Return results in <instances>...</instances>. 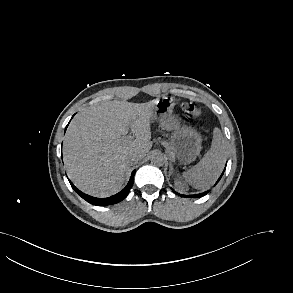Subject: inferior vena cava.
<instances>
[{
	"label": "inferior vena cava",
	"mask_w": 293,
	"mask_h": 293,
	"mask_svg": "<svg viewBox=\"0 0 293 293\" xmlns=\"http://www.w3.org/2000/svg\"><path fill=\"white\" fill-rule=\"evenodd\" d=\"M141 159V155L138 153H130L127 157V164L129 166H133L138 163V161Z\"/></svg>",
	"instance_id": "1"
}]
</instances>
